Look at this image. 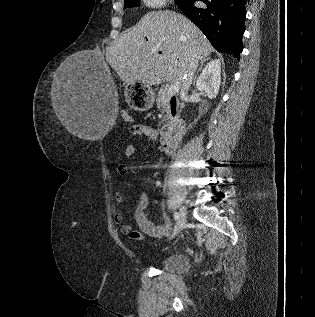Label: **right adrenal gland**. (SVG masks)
<instances>
[{"label": "right adrenal gland", "instance_id": "2a0ac1e0", "mask_svg": "<svg viewBox=\"0 0 315 317\" xmlns=\"http://www.w3.org/2000/svg\"><path fill=\"white\" fill-rule=\"evenodd\" d=\"M208 60H210V56H205V57H202V58H201L200 69L198 70V72L201 71V69H202V67H203V65H204V62H205V61H208ZM198 72H197V73H198ZM196 78H197V77L195 76V79H194V83H193V84H195Z\"/></svg>", "mask_w": 315, "mask_h": 317}]
</instances>
